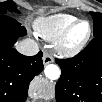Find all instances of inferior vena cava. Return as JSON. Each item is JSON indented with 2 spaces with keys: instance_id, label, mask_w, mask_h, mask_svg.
I'll return each mask as SVG.
<instances>
[{
  "instance_id": "obj_1",
  "label": "inferior vena cava",
  "mask_w": 102,
  "mask_h": 102,
  "mask_svg": "<svg viewBox=\"0 0 102 102\" xmlns=\"http://www.w3.org/2000/svg\"><path fill=\"white\" fill-rule=\"evenodd\" d=\"M16 49L19 53L26 56L36 55L39 51L38 44L33 39H24L16 45Z\"/></svg>"
}]
</instances>
